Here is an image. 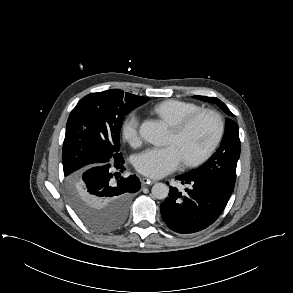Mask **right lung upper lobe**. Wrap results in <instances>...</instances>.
I'll use <instances>...</instances> for the list:
<instances>
[{
    "label": "right lung upper lobe",
    "instance_id": "right-lung-upper-lobe-1",
    "mask_svg": "<svg viewBox=\"0 0 293 293\" xmlns=\"http://www.w3.org/2000/svg\"><path fill=\"white\" fill-rule=\"evenodd\" d=\"M141 98H143L145 101L149 100V98H147V97H141Z\"/></svg>",
    "mask_w": 293,
    "mask_h": 293
}]
</instances>
